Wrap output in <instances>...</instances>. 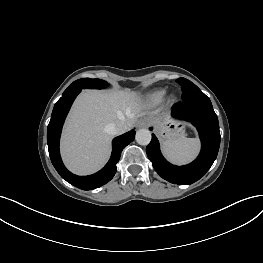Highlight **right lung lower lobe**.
<instances>
[{"label":"right lung lower lobe","instance_id":"1","mask_svg":"<svg viewBox=\"0 0 263 263\" xmlns=\"http://www.w3.org/2000/svg\"><path fill=\"white\" fill-rule=\"evenodd\" d=\"M80 91L81 89H76L65 93L56 102L47 128V143L52 164L60 176L80 189L92 190L106 184L114 177L117 170L116 164L120 159L121 152L134 140L135 131L131 130L113 140L111 158L99 172L89 176H77L69 172L63 165L60 157L59 139L66 115Z\"/></svg>","mask_w":263,"mask_h":263}]
</instances>
